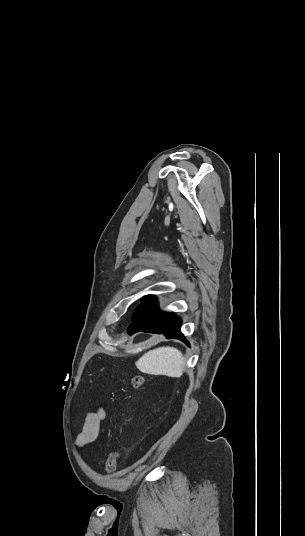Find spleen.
<instances>
[{
    "label": "spleen",
    "mask_w": 305,
    "mask_h": 536,
    "mask_svg": "<svg viewBox=\"0 0 305 536\" xmlns=\"http://www.w3.org/2000/svg\"><path fill=\"white\" fill-rule=\"evenodd\" d=\"M135 364L136 368L143 374L181 378L185 368V358L177 348H168L167 346V348L150 350Z\"/></svg>",
    "instance_id": "1"
}]
</instances>
